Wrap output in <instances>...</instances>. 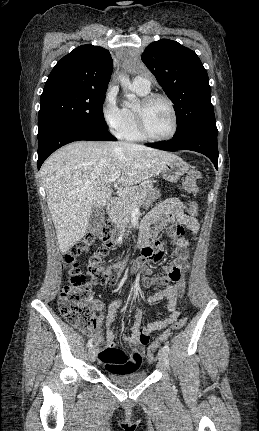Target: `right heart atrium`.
I'll list each match as a JSON object with an SVG mask.
<instances>
[{"instance_id":"right-heart-atrium-1","label":"right heart atrium","mask_w":259,"mask_h":431,"mask_svg":"<svg viewBox=\"0 0 259 431\" xmlns=\"http://www.w3.org/2000/svg\"><path fill=\"white\" fill-rule=\"evenodd\" d=\"M101 114L107 127L117 134L125 121L124 108L118 101V91L113 85L109 86L101 105Z\"/></svg>"}]
</instances>
